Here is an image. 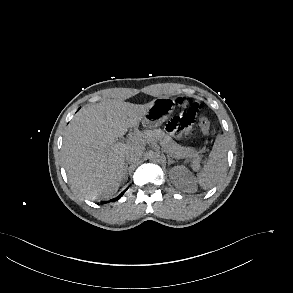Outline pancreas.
<instances>
[{"instance_id": "cf45deb5", "label": "pancreas", "mask_w": 293, "mask_h": 293, "mask_svg": "<svg viewBox=\"0 0 293 293\" xmlns=\"http://www.w3.org/2000/svg\"><path fill=\"white\" fill-rule=\"evenodd\" d=\"M144 135L148 141H160L165 151L174 158L190 157L194 158V162H198L200 160V155L197 151L193 148L180 146L169 135L160 129L146 130Z\"/></svg>"}]
</instances>
